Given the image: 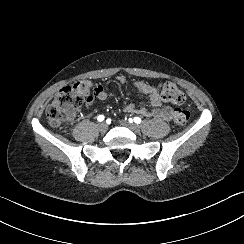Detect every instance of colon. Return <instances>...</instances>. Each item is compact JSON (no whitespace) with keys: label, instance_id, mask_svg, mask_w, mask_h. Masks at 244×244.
Listing matches in <instances>:
<instances>
[{"label":"colon","instance_id":"obj_1","mask_svg":"<svg viewBox=\"0 0 244 244\" xmlns=\"http://www.w3.org/2000/svg\"><path fill=\"white\" fill-rule=\"evenodd\" d=\"M163 98L173 104L181 105L186 101V95L174 83L163 81L157 84ZM96 94L95 84L89 79L78 80L72 85L63 87L53 102L47 108L48 123L54 129H61L68 125L75 112L90 98ZM187 110H177L173 115V123L176 127H184L189 121Z\"/></svg>","mask_w":244,"mask_h":244}]
</instances>
